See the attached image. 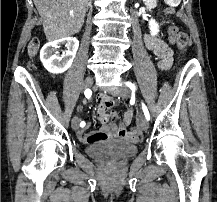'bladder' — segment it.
I'll return each mask as SVG.
<instances>
[{"instance_id": "1", "label": "bladder", "mask_w": 217, "mask_h": 202, "mask_svg": "<svg viewBox=\"0 0 217 202\" xmlns=\"http://www.w3.org/2000/svg\"><path fill=\"white\" fill-rule=\"evenodd\" d=\"M138 145L125 140H108L92 143L86 147L91 158H106L108 156L126 157L135 155Z\"/></svg>"}]
</instances>
